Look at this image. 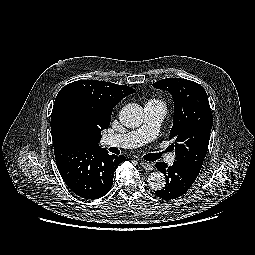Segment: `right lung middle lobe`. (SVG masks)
Wrapping results in <instances>:
<instances>
[{
  "mask_svg": "<svg viewBox=\"0 0 255 255\" xmlns=\"http://www.w3.org/2000/svg\"><path fill=\"white\" fill-rule=\"evenodd\" d=\"M87 120L81 107L75 103H68L60 112L57 130L60 139L66 146L80 147L84 142Z\"/></svg>",
  "mask_w": 255,
  "mask_h": 255,
  "instance_id": "right-lung-middle-lobe-1",
  "label": "right lung middle lobe"
}]
</instances>
